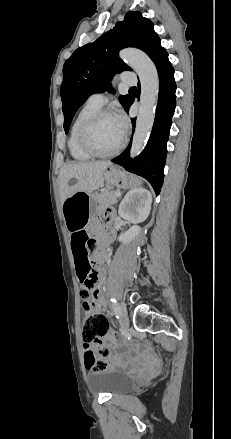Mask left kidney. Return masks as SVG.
<instances>
[{"label":"left kidney","instance_id":"5707ae66","mask_svg":"<svg viewBox=\"0 0 231 439\" xmlns=\"http://www.w3.org/2000/svg\"><path fill=\"white\" fill-rule=\"evenodd\" d=\"M152 195L144 188L130 190L119 205V215L132 223L133 226L119 236L118 240L124 244L131 242L140 232L137 225L147 219L151 210Z\"/></svg>","mask_w":231,"mask_h":439}]
</instances>
